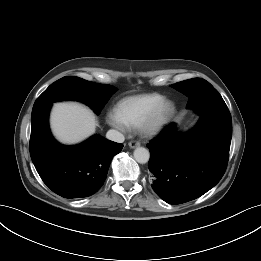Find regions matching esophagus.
I'll return each instance as SVG.
<instances>
[{"instance_id": "34e87169", "label": "esophagus", "mask_w": 261, "mask_h": 261, "mask_svg": "<svg viewBox=\"0 0 261 261\" xmlns=\"http://www.w3.org/2000/svg\"><path fill=\"white\" fill-rule=\"evenodd\" d=\"M128 145H129L130 148L133 149V148L139 147L140 146V142H138V141H130Z\"/></svg>"}]
</instances>
